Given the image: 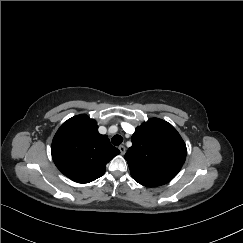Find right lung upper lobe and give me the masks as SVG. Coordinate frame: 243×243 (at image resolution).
<instances>
[{
  "instance_id": "right-lung-upper-lobe-1",
  "label": "right lung upper lobe",
  "mask_w": 243,
  "mask_h": 243,
  "mask_svg": "<svg viewBox=\"0 0 243 243\" xmlns=\"http://www.w3.org/2000/svg\"><path fill=\"white\" fill-rule=\"evenodd\" d=\"M51 153L57 168L77 183H89L105 173L120 151L98 132L95 120L82 114L64 122L56 132Z\"/></svg>"
}]
</instances>
